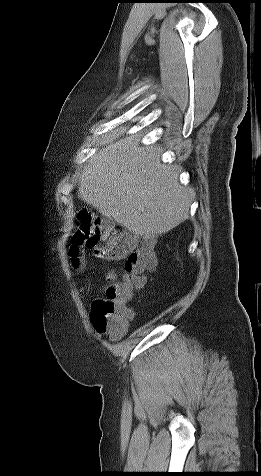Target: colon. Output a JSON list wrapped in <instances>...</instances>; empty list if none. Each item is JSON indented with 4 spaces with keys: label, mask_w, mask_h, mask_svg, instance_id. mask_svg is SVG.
Instances as JSON below:
<instances>
[{
    "label": "colon",
    "mask_w": 261,
    "mask_h": 476,
    "mask_svg": "<svg viewBox=\"0 0 261 476\" xmlns=\"http://www.w3.org/2000/svg\"><path fill=\"white\" fill-rule=\"evenodd\" d=\"M107 261H125L126 276L118 286L109 287L103 298L93 303L91 320L98 333L110 338L121 337L133 318L129 305L133 290L145 284V273L156 267L153 241L137 240L118 231L112 223L82 210L78 215L70 245V257L75 269L82 266L84 251Z\"/></svg>",
    "instance_id": "5ec220e1"
}]
</instances>
